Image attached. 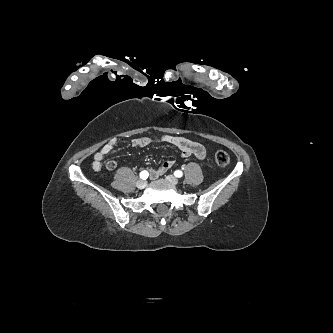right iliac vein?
Returning a JSON list of instances; mask_svg holds the SVG:
<instances>
[{"mask_svg":"<svg viewBox=\"0 0 333 333\" xmlns=\"http://www.w3.org/2000/svg\"><path fill=\"white\" fill-rule=\"evenodd\" d=\"M147 185V182L144 181V180H138L137 183H136V186L139 188V189H144Z\"/></svg>","mask_w":333,"mask_h":333,"instance_id":"63e3f726","label":"right iliac vein"}]
</instances>
